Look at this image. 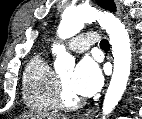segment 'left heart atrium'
Here are the masks:
<instances>
[{"label": "left heart atrium", "mask_w": 142, "mask_h": 119, "mask_svg": "<svg viewBox=\"0 0 142 119\" xmlns=\"http://www.w3.org/2000/svg\"><path fill=\"white\" fill-rule=\"evenodd\" d=\"M102 85V74L91 60H82L71 75L70 89L78 96L89 97L95 94Z\"/></svg>", "instance_id": "39dd6f15"}]
</instances>
